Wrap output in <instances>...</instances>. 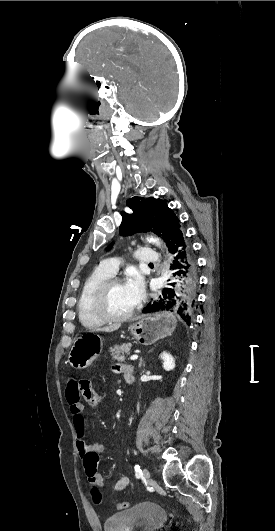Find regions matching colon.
<instances>
[{
  "label": "colon",
  "instance_id": "1",
  "mask_svg": "<svg viewBox=\"0 0 275 531\" xmlns=\"http://www.w3.org/2000/svg\"><path fill=\"white\" fill-rule=\"evenodd\" d=\"M79 390L83 392L82 399L84 402H88L91 406H97L100 403V397L97 390L96 381H92L90 378H85V381H80ZM93 499L98 501L100 499V491L97 489V486H94L92 491ZM97 506H100V503H97ZM129 504L127 502H118L116 508L118 511H124L128 508Z\"/></svg>",
  "mask_w": 275,
  "mask_h": 531
}]
</instances>
